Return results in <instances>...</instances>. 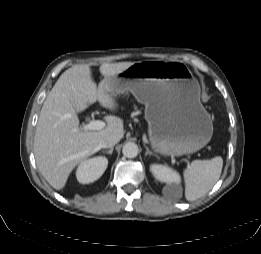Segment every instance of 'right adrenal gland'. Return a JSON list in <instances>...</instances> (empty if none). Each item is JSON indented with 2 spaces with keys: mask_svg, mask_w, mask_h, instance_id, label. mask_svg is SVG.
<instances>
[{
  "mask_svg": "<svg viewBox=\"0 0 261 254\" xmlns=\"http://www.w3.org/2000/svg\"><path fill=\"white\" fill-rule=\"evenodd\" d=\"M113 147L112 148H110L109 150H104V151H102L103 153H107V154H112V152H113Z\"/></svg>",
  "mask_w": 261,
  "mask_h": 254,
  "instance_id": "1",
  "label": "right adrenal gland"
}]
</instances>
